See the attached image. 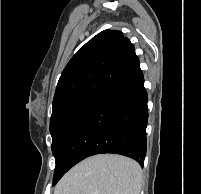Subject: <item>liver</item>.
I'll use <instances>...</instances> for the list:
<instances>
[{
	"mask_svg": "<svg viewBox=\"0 0 201 194\" xmlns=\"http://www.w3.org/2000/svg\"><path fill=\"white\" fill-rule=\"evenodd\" d=\"M142 169L127 157L104 154L89 157L69 170L54 194H140Z\"/></svg>",
	"mask_w": 201,
	"mask_h": 194,
	"instance_id": "obj_1",
	"label": "liver"
}]
</instances>
